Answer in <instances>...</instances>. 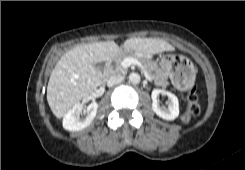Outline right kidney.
Masks as SVG:
<instances>
[{"label": "right kidney", "instance_id": "ca27d5eb", "mask_svg": "<svg viewBox=\"0 0 245 170\" xmlns=\"http://www.w3.org/2000/svg\"><path fill=\"white\" fill-rule=\"evenodd\" d=\"M98 109V104L92 102L89 104L85 111L86 116L80 117L83 110V105L81 103L75 104L63 118V127L69 131H79L86 128L94 120Z\"/></svg>", "mask_w": 245, "mask_h": 170}]
</instances>
